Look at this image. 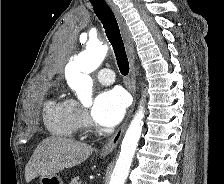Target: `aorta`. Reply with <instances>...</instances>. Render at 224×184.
<instances>
[{
    "mask_svg": "<svg viewBox=\"0 0 224 184\" xmlns=\"http://www.w3.org/2000/svg\"><path fill=\"white\" fill-rule=\"evenodd\" d=\"M108 46L98 40H90L86 49L70 61L65 68V77L69 87L77 94V98L85 106L92 104L93 82L90 73L103 62ZM144 109L140 105L132 119L121 144V151L111 175L109 184H124L130 170L138 141L143 127Z\"/></svg>",
    "mask_w": 224,
    "mask_h": 184,
    "instance_id": "aorta-1",
    "label": "aorta"
}]
</instances>
